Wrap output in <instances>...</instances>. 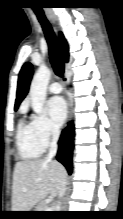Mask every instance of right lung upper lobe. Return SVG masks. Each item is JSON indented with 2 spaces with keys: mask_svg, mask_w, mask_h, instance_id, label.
Returning <instances> with one entry per match:
<instances>
[{
  "mask_svg": "<svg viewBox=\"0 0 123 219\" xmlns=\"http://www.w3.org/2000/svg\"><path fill=\"white\" fill-rule=\"evenodd\" d=\"M59 44H60L61 52L63 55V59L65 62H68V59H69L68 45L61 32L59 33ZM32 74H33L32 65L29 62L25 63L20 71L19 78H18L17 96H16V101H15V107H14L15 110H17L20 103L22 102V100L25 98V96L28 93Z\"/></svg>",
  "mask_w": 123,
  "mask_h": 219,
  "instance_id": "right-lung-upper-lobe-1",
  "label": "right lung upper lobe"
}]
</instances>
